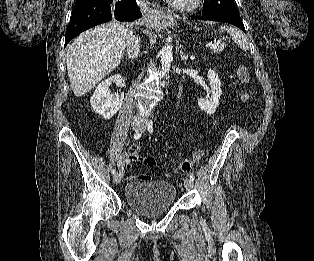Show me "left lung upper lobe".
<instances>
[{
    "instance_id": "left-lung-upper-lobe-1",
    "label": "left lung upper lobe",
    "mask_w": 314,
    "mask_h": 261,
    "mask_svg": "<svg viewBox=\"0 0 314 261\" xmlns=\"http://www.w3.org/2000/svg\"><path fill=\"white\" fill-rule=\"evenodd\" d=\"M202 12L208 16H240L234 0H204Z\"/></svg>"
}]
</instances>
